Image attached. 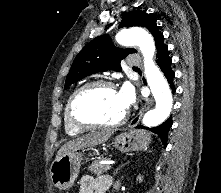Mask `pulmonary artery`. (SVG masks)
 Instances as JSON below:
<instances>
[{"label":"pulmonary artery","instance_id":"e3ab8cb5","mask_svg":"<svg viewBox=\"0 0 221 193\" xmlns=\"http://www.w3.org/2000/svg\"><path fill=\"white\" fill-rule=\"evenodd\" d=\"M141 63V59L137 54H133L130 56L129 60H128V64L129 65H139Z\"/></svg>","mask_w":221,"mask_h":193}]
</instances>
